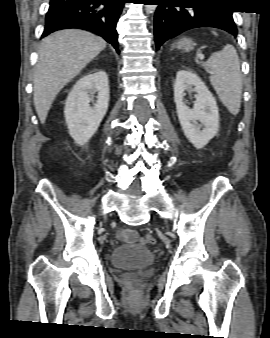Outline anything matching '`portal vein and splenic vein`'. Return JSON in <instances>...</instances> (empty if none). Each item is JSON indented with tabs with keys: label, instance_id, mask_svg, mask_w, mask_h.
I'll list each match as a JSON object with an SVG mask.
<instances>
[{
	"label": "portal vein and splenic vein",
	"instance_id": "1",
	"mask_svg": "<svg viewBox=\"0 0 270 338\" xmlns=\"http://www.w3.org/2000/svg\"><path fill=\"white\" fill-rule=\"evenodd\" d=\"M199 59L203 60L204 59V55L203 54L199 55Z\"/></svg>",
	"mask_w": 270,
	"mask_h": 338
}]
</instances>
